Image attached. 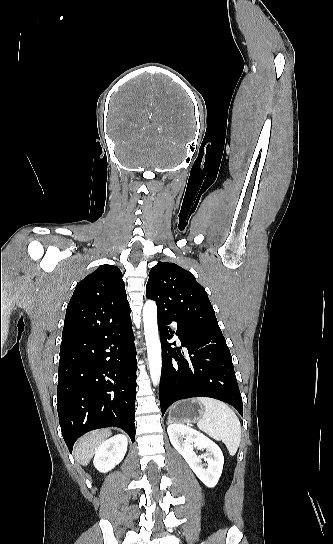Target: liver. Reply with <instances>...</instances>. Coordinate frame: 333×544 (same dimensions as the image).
Segmentation results:
<instances>
[{"instance_id":"obj_1","label":"liver","mask_w":333,"mask_h":544,"mask_svg":"<svg viewBox=\"0 0 333 544\" xmlns=\"http://www.w3.org/2000/svg\"><path fill=\"white\" fill-rule=\"evenodd\" d=\"M111 435L109 430L90 432L80 438L74 447L75 460L86 466L98 450L99 446Z\"/></svg>"}]
</instances>
